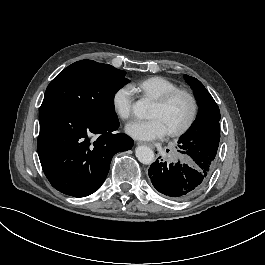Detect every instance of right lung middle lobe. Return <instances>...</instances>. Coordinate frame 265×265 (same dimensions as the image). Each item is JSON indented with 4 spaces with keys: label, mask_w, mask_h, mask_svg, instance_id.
I'll return each mask as SVG.
<instances>
[{
    "label": "right lung middle lobe",
    "mask_w": 265,
    "mask_h": 265,
    "mask_svg": "<svg viewBox=\"0 0 265 265\" xmlns=\"http://www.w3.org/2000/svg\"><path fill=\"white\" fill-rule=\"evenodd\" d=\"M125 74L92 60L75 62L51 81L42 105L64 107L94 120L117 122L114 96L129 82Z\"/></svg>",
    "instance_id": "obj_1"
}]
</instances>
